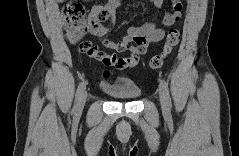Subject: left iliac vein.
<instances>
[{
	"label": "left iliac vein",
	"mask_w": 239,
	"mask_h": 156,
	"mask_svg": "<svg viewBox=\"0 0 239 156\" xmlns=\"http://www.w3.org/2000/svg\"><path fill=\"white\" fill-rule=\"evenodd\" d=\"M159 100H160L162 109L166 110L167 109L166 100L162 92L159 93Z\"/></svg>",
	"instance_id": "1"
}]
</instances>
